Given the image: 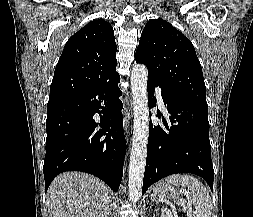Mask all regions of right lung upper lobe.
<instances>
[{"instance_id":"cb5924a9","label":"right lung upper lobe","mask_w":253,"mask_h":217,"mask_svg":"<svg viewBox=\"0 0 253 217\" xmlns=\"http://www.w3.org/2000/svg\"><path fill=\"white\" fill-rule=\"evenodd\" d=\"M112 26L94 20L67 41L55 68L49 101L83 92L116 72Z\"/></svg>"}]
</instances>
